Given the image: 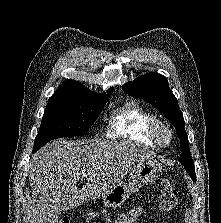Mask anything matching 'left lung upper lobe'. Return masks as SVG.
I'll list each match as a JSON object with an SVG mask.
<instances>
[{
  "label": "left lung upper lobe",
  "instance_id": "obj_1",
  "mask_svg": "<svg viewBox=\"0 0 221 223\" xmlns=\"http://www.w3.org/2000/svg\"><path fill=\"white\" fill-rule=\"evenodd\" d=\"M125 93L141 98L155 106L176 127L180 138L182 154L179 162L184 165L193 181H196L194 163L189 150L188 136L185 131L183 114L174 94L171 92L166 78L158 73H148L127 82L122 86Z\"/></svg>",
  "mask_w": 221,
  "mask_h": 223
}]
</instances>
